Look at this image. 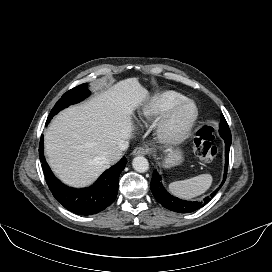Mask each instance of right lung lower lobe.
Listing matches in <instances>:
<instances>
[{"label": "right lung lower lobe", "mask_w": 272, "mask_h": 272, "mask_svg": "<svg viewBox=\"0 0 272 272\" xmlns=\"http://www.w3.org/2000/svg\"><path fill=\"white\" fill-rule=\"evenodd\" d=\"M39 155L50 191L67 210L79 215H92L104 210L116 199L119 175L127 162L125 157L106 170L94 185L77 189L64 185L53 175L44 157L43 136L40 140Z\"/></svg>", "instance_id": "right-lung-lower-lobe-1"}]
</instances>
